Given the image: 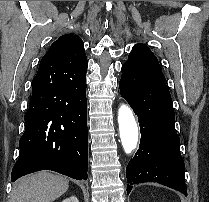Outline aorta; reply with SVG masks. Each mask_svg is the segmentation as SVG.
<instances>
[{"label":"aorta","mask_w":209,"mask_h":202,"mask_svg":"<svg viewBox=\"0 0 209 202\" xmlns=\"http://www.w3.org/2000/svg\"><path fill=\"white\" fill-rule=\"evenodd\" d=\"M121 143L125 153L130 154L137 146L139 132L132 110L123 104L118 110Z\"/></svg>","instance_id":"obj_1"}]
</instances>
